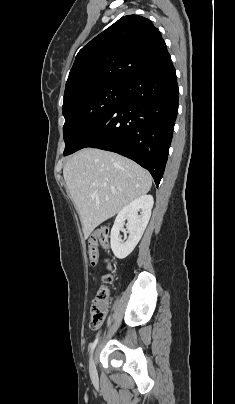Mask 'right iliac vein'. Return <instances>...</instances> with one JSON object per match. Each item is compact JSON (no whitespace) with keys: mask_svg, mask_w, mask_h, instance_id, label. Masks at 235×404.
<instances>
[{"mask_svg":"<svg viewBox=\"0 0 235 404\" xmlns=\"http://www.w3.org/2000/svg\"><path fill=\"white\" fill-rule=\"evenodd\" d=\"M90 374L92 377H95V375H96V367H95L94 358H91V361H90Z\"/></svg>","mask_w":235,"mask_h":404,"instance_id":"63e3f726","label":"right iliac vein"}]
</instances>
